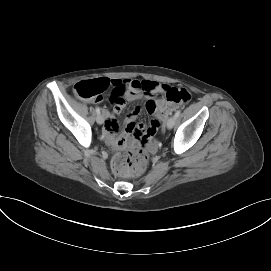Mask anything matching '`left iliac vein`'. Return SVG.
Segmentation results:
<instances>
[{
  "mask_svg": "<svg viewBox=\"0 0 271 271\" xmlns=\"http://www.w3.org/2000/svg\"><path fill=\"white\" fill-rule=\"evenodd\" d=\"M175 122H176L175 116L170 117V118L167 120V123H166L167 128H168V129H172L173 126L175 125Z\"/></svg>",
  "mask_w": 271,
  "mask_h": 271,
  "instance_id": "left-iliac-vein-1",
  "label": "left iliac vein"
}]
</instances>
